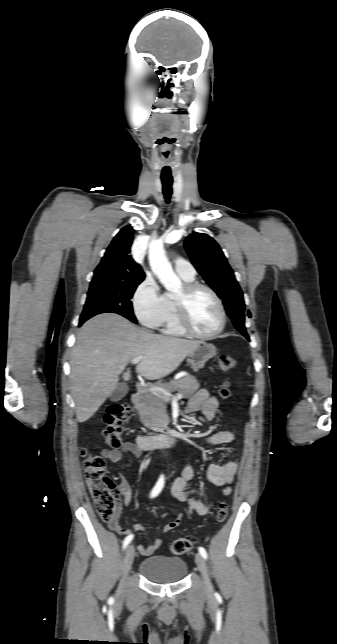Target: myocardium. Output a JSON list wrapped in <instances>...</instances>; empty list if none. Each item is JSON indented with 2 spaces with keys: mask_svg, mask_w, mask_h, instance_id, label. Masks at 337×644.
Wrapping results in <instances>:
<instances>
[{
  "mask_svg": "<svg viewBox=\"0 0 337 644\" xmlns=\"http://www.w3.org/2000/svg\"><path fill=\"white\" fill-rule=\"evenodd\" d=\"M199 290L207 291L214 298L220 312L219 326L213 332L208 334H201L196 332L192 328L188 318L189 300ZM174 310H175V317H176L177 323L179 327L183 330V332L193 338H197L201 340H211L216 338L224 331L227 323V313L222 299L212 287L200 282L193 281V282L186 283L183 286L180 293H178L174 297Z\"/></svg>",
  "mask_w": 337,
  "mask_h": 644,
  "instance_id": "f54148a6",
  "label": "myocardium"
}]
</instances>
